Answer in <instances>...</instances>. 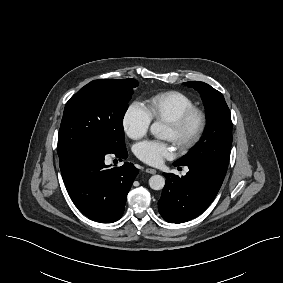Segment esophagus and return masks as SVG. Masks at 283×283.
I'll use <instances>...</instances> for the list:
<instances>
[{
    "instance_id": "esophagus-1",
    "label": "esophagus",
    "mask_w": 283,
    "mask_h": 283,
    "mask_svg": "<svg viewBox=\"0 0 283 283\" xmlns=\"http://www.w3.org/2000/svg\"><path fill=\"white\" fill-rule=\"evenodd\" d=\"M146 172L149 173V174H156L157 173V171L153 168H147Z\"/></svg>"
}]
</instances>
